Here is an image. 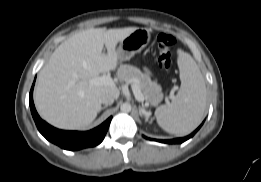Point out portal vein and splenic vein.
Here are the masks:
<instances>
[{"label": "portal vein and splenic vein", "instance_id": "18ae733b", "mask_svg": "<svg viewBox=\"0 0 261 182\" xmlns=\"http://www.w3.org/2000/svg\"><path fill=\"white\" fill-rule=\"evenodd\" d=\"M90 83L93 84V85H106V86H111V87L115 86L113 79L110 77V75H106V74L92 79L90 81ZM131 88H132V91L135 95V98L139 102H144L145 98L142 94V91H141L137 81L132 85ZM146 106H148V103H146Z\"/></svg>", "mask_w": 261, "mask_h": 182}]
</instances>
